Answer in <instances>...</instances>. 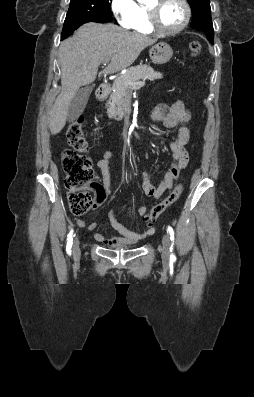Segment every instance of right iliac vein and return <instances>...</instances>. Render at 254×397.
<instances>
[{
	"mask_svg": "<svg viewBox=\"0 0 254 397\" xmlns=\"http://www.w3.org/2000/svg\"><path fill=\"white\" fill-rule=\"evenodd\" d=\"M73 252H74L75 258H78L80 256V247H79V239H78V237H76L75 240H74Z\"/></svg>",
	"mask_w": 254,
	"mask_h": 397,
	"instance_id": "1",
	"label": "right iliac vein"
}]
</instances>
